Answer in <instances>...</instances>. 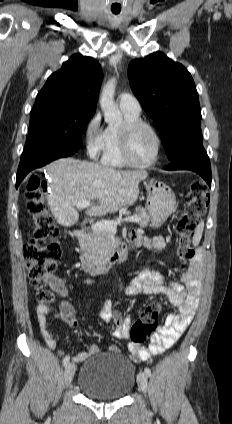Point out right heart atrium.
<instances>
[{
  "label": "right heart atrium",
  "instance_id": "1",
  "mask_svg": "<svg viewBox=\"0 0 232 424\" xmlns=\"http://www.w3.org/2000/svg\"><path fill=\"white\" fill-rule=\"evenodd\" d=\"M84 142L88 155L92 159L98 158L105 146V130L101 129V115L95 113L84 127Z\"/></svg>",
  "mask_w": 232,
  "mask_h": 424
}]
</instances>
